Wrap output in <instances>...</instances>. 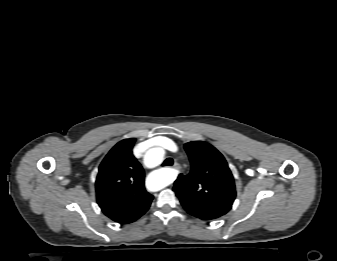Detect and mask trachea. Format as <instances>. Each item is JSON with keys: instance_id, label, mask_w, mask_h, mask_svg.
<instances>
[{"instance_id": "3493384b", "label": "trachea", "mask_w": 337, "mask_h": 261, "mask_svg": "<svg viewBox=\"0 0 337 261\" xmlns=\"http://www.w3.org/2000/svg\"><path fill=\"white\" fill-rule=\"evenodd\" d=\"M173 165V159L172 158H167L164 162H163V166H172Z\"/></svg>"}]
</instances>
